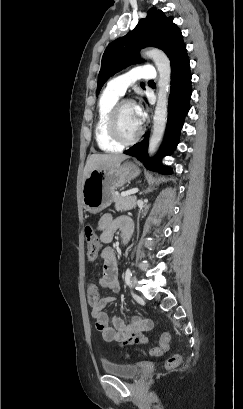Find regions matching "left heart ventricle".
I'll return each instance as SVG.
<instances>
[{
  "mask_svg": "<svg viewBox=\"0 0 243 409\" xmlns=\"http://www.w3.org/2000/svg\"><path fill=\"white\" fill-rule=\"evenodd\" d=\"M139 123L133 105H126L119 114V127L124 137L131 138L139 130Z\"/></svg>",
  "mask_w": 243,
  "mask_h": 409,
  "instance_id": "b2bd125f",
  "label": "left heart ventricle"
}]
</instances>
